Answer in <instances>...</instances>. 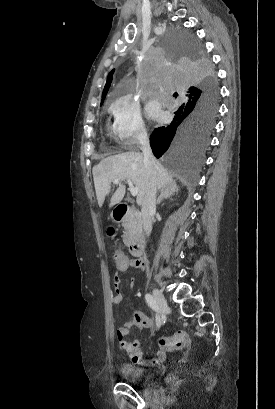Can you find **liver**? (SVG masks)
Segmentation results:
<instances>
[{
	"mask_svg": "<svg viewBox=\"0 0 275 409\" xmlns=\"http://www.w3.org/2000/svg\"><path fill=\"white\" fill-rule=\"evenodd\" d=\"M155 180L158 188H165L167 184H175L172 174L164 168L159 160H155ZM96 196L99 207H102L106 194H109L111 184L114 178H131L136 188H139L137 194L138 205H142V200L147 192V168L144 164V156L141 152H122V154H114L102 158L98 164L92 168ZM125 184L117 186L113 196H111L109 207L117 205V202L122 200L125 194Z\"/></svg>",
	"mask_w": 275,
	"mask_h": 409,
	"instance_id": "obj_1",
	"label": "liver"
}]
</instances>
